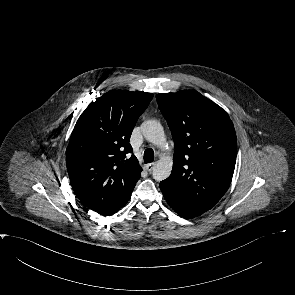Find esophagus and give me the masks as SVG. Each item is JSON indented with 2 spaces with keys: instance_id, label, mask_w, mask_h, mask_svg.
<instances>
[{
  "instance_id": "1",
  "label": "esophagus",
  "mask_w": 295,
  "mask_h": 295,
  "mask_svg": "<svg viewBox=\"0 0 295 295\" xmlns=\"http://www.w3.org/2000/svg\"><path fill=\"white\" fill-rule=\"evenodd\" d=\"M155 166H156V163L153 162V163L146 164L145 168L147 171L151 172L155 168Z\"/></svg>"
}]
</instances>
